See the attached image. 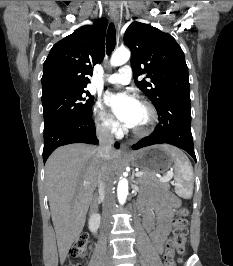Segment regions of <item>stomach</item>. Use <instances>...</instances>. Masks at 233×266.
Returning a JSON list of instances; mask_svg holds the SVG:
<instances>
[{"label": "stomach", "mask_w": 233, "mask_h": 266, "mask_svg": "<svg viewBox=\"0 0 233 266\" xmlns=\"http://www.w3.org/2000/svg\"><path fill=\"white\" fill-rule=\"evenodd\" d=\"M128 161L135 167L150 173L168 172L172 167L174 158L170 148L162 145L146 147L132 152L127 156Z\"/></svg>", "instance_id": "0dacf381"}]
</instances>
